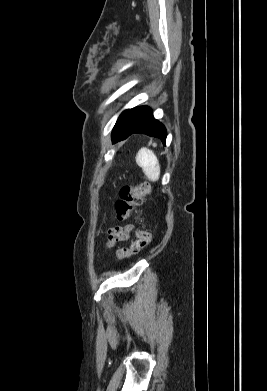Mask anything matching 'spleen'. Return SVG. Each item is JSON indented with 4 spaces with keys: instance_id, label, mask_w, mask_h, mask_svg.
<instances>
[{
    "instance_id": "1",
    "label": "spleen",
    "mask_w": 267,
    "mask_h": 391,
    "mask_svg": "<svg viewBox=\"0 0 267 391\" xmlns=\"http://www.w3.org/2000/svg\"><path fill=\"white\" fill-rule=\"evenodd\" d=\"M136 163L140 166L146 177L152 181H158L160 177L159 161L152 150L141 148L136 155Z\"/></svg>"
}]
</instances>
